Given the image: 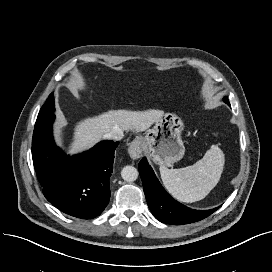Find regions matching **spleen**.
Returning <instances> with one entry per match:
<instances>
[{"label":"spleen","instance_id":"obj_1","mask_svg":"<svg viewBox=\"0 0 272 272\" xmlns=\"http://www.w3.org/2000/svg\"><path fill=\"white\" fill-rule=\"evenodd\" d=\"M224 162L221 149L212 145L195 164L179 169L160 166V175L169 193L181 202L192 203L205 198L217 185Z\"/></svg>","mask_w":272,"mask_h":272}]
</instances>
